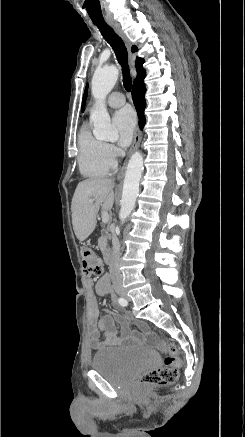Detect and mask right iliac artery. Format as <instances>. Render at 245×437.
I'll return each mask as SVG.
<instances>
[{
	"instance_id": "obj_1",
	"label": "right iliac artery",
	"mask_w": 245,
	"mask_h": 437,
	"mask_svg": "<svg viewBox=\"0 0 245 437\" xmlns=\"http://www.w3.org/2000/svg\"><path fill=\"white\" fill-rule=\"evenodd\" d=\"M118 302L121 306H127V300L124 298H119Z\"/></svg>"
}]
</instances>
